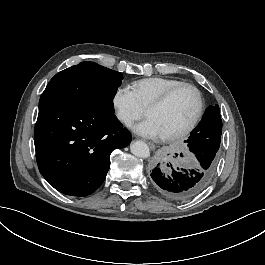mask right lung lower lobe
Here are the masks:
<instances>
[{"mask_svg": "<svg viewBox=\"0 0 265 265\" xmlns=\"http://www.w3.org/2000/svg\"><path fill=\"white\" fill-rule=\"evenodd\" d=\"M130 141L131 134L111 113L56 99L39 102L34 130L38 168L63 194L93 193L106 177L111 152Z\"/></svg>", "mask_w": 265, "mask_h": 265, "instance_id": "1", "label": "right lung lower lobe"}]
</instances>
